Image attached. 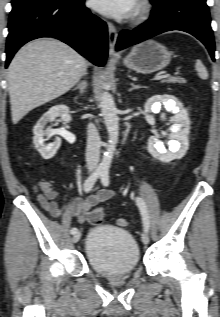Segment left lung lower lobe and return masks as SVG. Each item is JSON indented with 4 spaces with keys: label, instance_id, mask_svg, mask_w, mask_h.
Wrapping results in <instances>:
<instances>
[{
    "label": "left lung lower lobe",
    "instance_id": "1",
    "mask_svg": "<svg viewBox=\"0 0 220 317\" xmlns=\"http://www.w3.org/2000/svg\"><path fill=\"white\" fill-rule=\"evenodd\" d=\"M154 9L150 19L132 31H122L116 49H124L149 37L181 30L198 38L208 49L213 60L214 38L206 0H151Z\"/></svg>",
    "mask_w": 220,
    "mask_h": 317
}]
</instances>
